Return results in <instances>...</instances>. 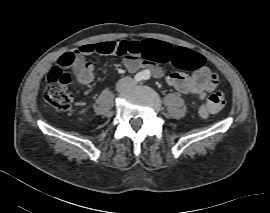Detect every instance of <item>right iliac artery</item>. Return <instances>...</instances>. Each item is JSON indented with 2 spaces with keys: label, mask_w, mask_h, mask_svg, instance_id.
Listing matches in <instances>:
<instances>
[{
  "label": "right iliac artery",
  "mask_w": 270,
  "mask_h": 213,
  "mask_svg": "<svg viewBox=\"0 0 270 213\" xmlns=\"http://www.w3.org/2000/svg\"><path fill=\"white\" fill-rule=\"evenodd\" d=\"M145 75H146V74L138 73V74L135 75L134 80H135L136 82H139V81H141V80L144 79Z\"/></svg>",
  "instance_id": "1"
}]
</instances>
